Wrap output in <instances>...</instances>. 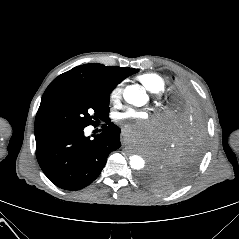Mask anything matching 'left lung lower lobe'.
Listing matches in <instances>:
<instances>
[{
  "mask_svg": "<svg viewBox=\"0 0 239 239\" xmlns=\"http://www.w3.org/2000/svg\"><path fill=\"white\" fill-rule=\"evenodd\" d=\"M178 119L179 125L182 126L177 129L169 128L160 149L154 154L151 163V167L166 173L175 188L189 179L190 176H187L190 173L189 171H194L196 167L194 165H197L196 163H198V159L202 155L205 124L200 102L191 100L183 103L179 110ZM172 159H175V161H178L176 159H181L179 161L183 163V166H181L183 168L176 166L174 163L178 162H174ZM180 171L183 172L180 174Z\"/></svg>",
  "mask_w": 239,
  "mask_h": 239,
  "instance_id": "0a47b994",
  "label": "left lung lower lobe"
}]
</instances>
